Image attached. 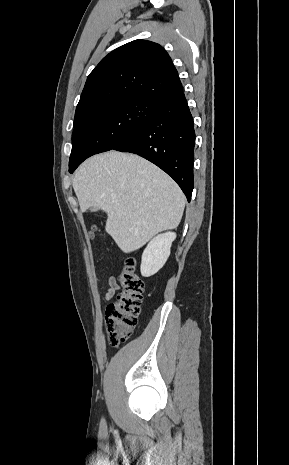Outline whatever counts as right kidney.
<instances>
[{
    "label": "right kidney",
    "mask_w": 289,
    "mask_h": 465,
    "mask_svg": "<svg viewBox=\"0 0 289 465\" xmlns=\"http://www.w3.org/2000/svg\"><path fill=\"white\" fill-rule=\"evenodd\" d=\"M174 232H167L154 237L142 254L141 274L150 277L157 273L166 263L172 242L175 240Z\"/></svg>",
    "instance_id": "ca27d5eb"
}]
</instances>
